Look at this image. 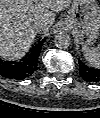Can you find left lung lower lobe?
<instances>
[{"mask_svg":"<svg viewBox=\"0 0 100 118\" xmlns=\"http://www.w3.org/2000/svg\"><path fill=\"white\" fill-rule=\"evenodd\" d=\"M79 73L86 82H100V69L92 68L79 61Z\"/></svg>","mask_w":100,"mask_h":118,"instance_id":"left-lung-lower-lobe-1","label":"left lung lower lobe"}]
</instances>
